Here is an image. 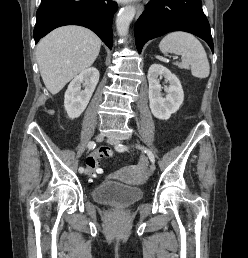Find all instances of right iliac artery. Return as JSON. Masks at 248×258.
Returning <instances> with one entry per match:
<instances>
[{
    "instance_id": "obj_1",
    "label": "right iliac artery",
    "mask_w": 248,
    "mask_h": 258,
    "mask_svg": "<svg viewBox=\"0 0 248 258\" xmlns=\"http://www.w3.org/2000/svg\"><path fill=\"white\" fill-rule=\"evenodd\" d=\"M87 146H88V148H89L90 150H92V149H94V148L96 147V143H95L94 141H90ZM79 172H80V173H83V172H84V168H83V167H80V168H79Z\"/></svg>"
}]
</instances>
